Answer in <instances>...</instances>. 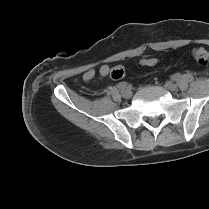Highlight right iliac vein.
Masks as SVG:
<instances>
[{
    "label": "right iliac vein",
    "instance_id": "1",
    "mask_svg": "<svg viewBox=\"0 0 209 209\" xmlns=\"http://www.w3.org/2000/svg\"><path fill=\"white\" fill-rule=\"evenodd\" d=\"M121 95L124 98H130L132 96V91L130 89H124L121 91Z\"/></svg>",
    "mask_w": 209,
    "mask_h": 209
}]
</instances>
